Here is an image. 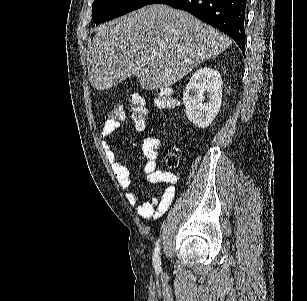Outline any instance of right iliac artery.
<instances>
[{
  "label": "right iliac artery",
  "instance_id": "1",
  "mask_svg": "<svg viewBox=\"0 0 307 301\" xmlns=\"http://www.w3.org/2000/svg\"><path fill=\"white\" fill-rule=\"evenodd\" d=\"M153 265L156 270L161 269V261H160V247L157 245V247L154 250V255H153Z\"/></svg>",
  "mask_w": 307,
  "mask_h": 301
}]
</instances>
